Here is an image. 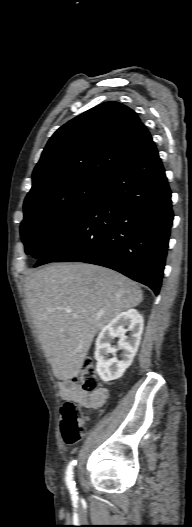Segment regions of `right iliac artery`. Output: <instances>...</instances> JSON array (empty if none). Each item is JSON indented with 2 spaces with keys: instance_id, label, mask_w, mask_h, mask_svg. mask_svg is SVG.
<instances>
[{
  "instance_id": "1",
  "label": "right iliac artery",
  "mask_w": 192,
  "mask_h": 527,
  "mask_svg": "<svg viewBox=\"0 0 192 527\" xmlns=\"http://www.w3.org/2000/svg\"><path fill=\"white\" fill-rule=\"evenodd\" d=\"M76 465V460H72L66 470V484L70 490L71 493H74L76 491L75 483L73 480V471L74 466Z\"/></svg>"
}]
</instances>
